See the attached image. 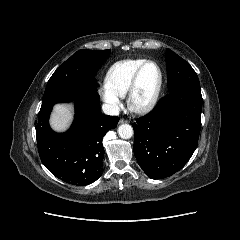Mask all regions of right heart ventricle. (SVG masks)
Instances as JSON below:
<instances>
[{
  "label": "right heart ventricle",
  "instance_id": "e07e8e85",
  "mask_svg": "<svg viewBox=\"0 0 240 240\" xmlns=\"http://www.w3.org/2000/svg\"><path fill=\"white\" fill-rule=\"evenodd\" d=\"M144 61L146 60L126 59L114 63L106 73V87L119 97L126 96L133 74Z\"/></svg>",
  "mask_w": 240,
  "mask_h": 240
}]
</instances>
